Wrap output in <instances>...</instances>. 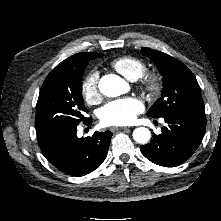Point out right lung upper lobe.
Masks as SVG:
<instances>
[{
	"instance_id": "1",
	"label": "right lung upper lobe",
	"mask_w": 221,
	"mask_h": 221,
	"mask_svg": "<svg viewBox=\"0 0 221 221\" xmlns=\"http://www.w3.org/2000/svg\"><path fill=\"white\" fill-rule=\"evenodd\" d=\"M98 53H92V52H82L75 54L64 61H62L58 67H71V68H77L81 65H84L88 63L90 60L97 58Z\"/></svg>"
}]
</instances>
